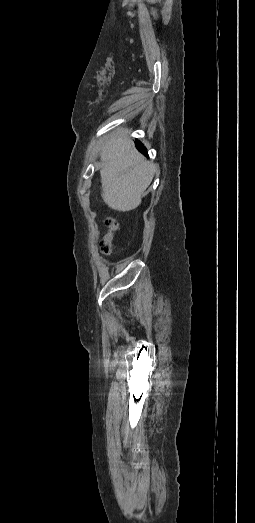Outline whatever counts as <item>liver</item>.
Instances as JSON below:
<instances>
[{
  "mask_svg": "<svg viewBox=\"0 0 255 523\" xmlns=\"http://www.w3.org/2000/svg\"><path fill=\"white\" fill-rule=\"evenodd\" d=\"M102 198L108 208L130 212L140 206L141 196L150 186L157 170L128 140L125 130L116 132L101 152Z\"/></svg>",
  "mask_w": 255,
  "mask_h": 523,
  "instance_id": "6515ba94",
  "label": "liver"
}]
</instances>
